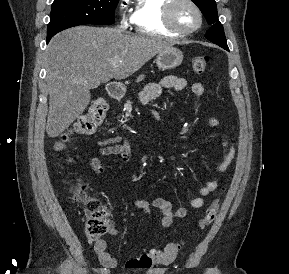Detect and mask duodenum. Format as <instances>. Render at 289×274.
Segmentation results:
<instances>
[{
  "mask_svg": "<svg viewBox=\"0 0 289 274\" xmlns=\"http://www.w3.org/2000/svg\"><path fill=\"white\" fill-rule=\"evenodd\" d=\"M108 94L112 99H118L122 95V90L117 84H109L108 86Z\"/></svg>",
  "mask_w": 289,
  "mask_h": 274,
  "instance_id": "1",
  "label": "duodenum"
}]
</instances>
